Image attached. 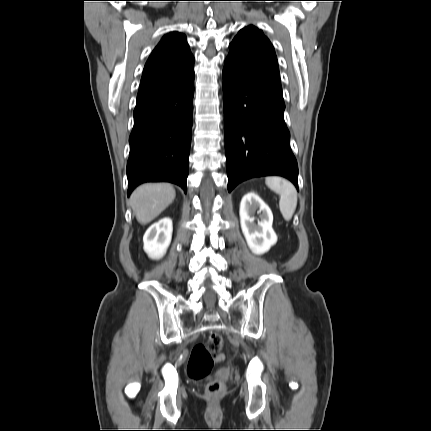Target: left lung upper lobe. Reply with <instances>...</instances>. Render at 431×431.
Instances as JSON below:
<instances>
[{"label": "left lung upper lobe", "instance_id": "5c2ea615", "mask_svg": "<svg viewBox=\"0 0 431 431\" xmlns=\"http://www.w3.org/2000/svg\"><path fill=\"white\" fill-rule=\"evenodd\" d=\"M224 69L282 94L274 48L262 31L254 26L242 29L233 39Z\"/></svg>", "mask_w": 431, "mask_h": 431}]
</instances>
